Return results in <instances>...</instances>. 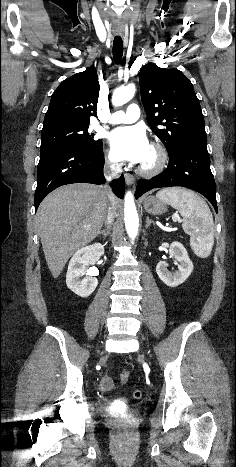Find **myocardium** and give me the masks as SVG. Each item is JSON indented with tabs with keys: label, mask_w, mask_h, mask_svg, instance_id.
Listing matches in <instances>:
<instances>
[{
	"label": "myocardium",
	"mask_w": 236,
	"mask_h": 467,
	"mask_svg": "<svg viewBox=\"0 0 236 467\" xmlns=\"http://www.w3.org/2000/svg\"><path fill=\"white\" fill-rule=\"evenodd\" d=\"M151 149L155 154V161L152 165H140L138 171L144 176H155L160 174L168 165L169 155L166 148L159 142H153Z\"/></svg>",
	"instance_id": "obj_1"
}]
</instances>
